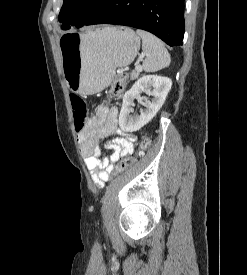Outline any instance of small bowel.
Returning a JSON list of instances; mask_svg holds the SVG:
<instances>
[{"mask_svg":"<svg viewBox=\"0 0 247 275\" xmlns=\"http://www.w3.org/2000/svg\"><path fill=\"white\" fill-rule=\"evenodd\" d=\"M111 135L115 137L108 141L106 146L112 153L107 158H101L98 139ZM79 144L93 182L98 187H103L117 161L133 153L138 145V137L134 134H125L118 127L116 107L107 108L102 105L89 119L87 128L79 134Z\"/></svg>","mask_w":247,"mask_h":275,"instance_id":"obj_1","label":"small bowel"}]
</instances>
